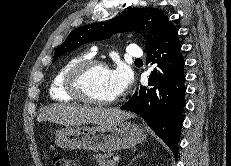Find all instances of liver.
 <instances>
[{
	"label": "liver",
	"instance_id": "1",
	"mask_svg": "<svg viewBox=\"0 0 231 166\" xmlns=\"http://www.w3.org/2000/svg\"><path fill=\"white\" fill-rule=\"evenodd\" d=\"M133 117L117 108H100L79 104H53L44 108L38 122L50 121L66 126L94 123L98 126L113 124Z\"/></svg>",
	"mask_w": 231,
	"mask_h": 166
}]
</instances>
